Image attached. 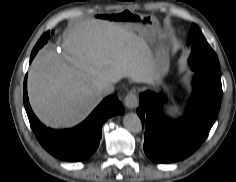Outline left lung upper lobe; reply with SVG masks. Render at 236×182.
I'll list each match as a JSON object with an SVG mask.
<instances>
[{
    "mask_svg": "<svg viewBox=\"0 0 236 182\" xmlns=\"http://www.w3.org/2000/svg\"><path fill=\"white\" fill-rule=\"evenodd\" d=\"M187 42L192 43V55L189 62L192 63L193 68L221 76L218 57L196 24L191 25Z\"/></svg>",
    "mask_w": 236,
    "mask_h": 182,
    "instance_id": "1",
    "label": "left lung upper lobe"
}]
</instances>
